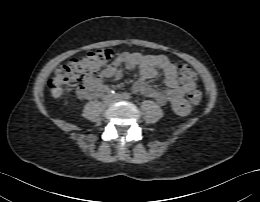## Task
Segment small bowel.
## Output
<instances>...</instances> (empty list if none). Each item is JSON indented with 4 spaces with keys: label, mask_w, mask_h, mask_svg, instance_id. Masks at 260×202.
Segmentation results:
<instances>
[{
    "label": "small bowel",
    "mask_w": 260,
    "mask_h": 202,
    "mask_svg": "<svg viewBox=\"0 0 260 202\" xmlns=\"http://www.w3.org/2000/svg\"><path fill=\"white\" fill-rule=\"evenodd\" d=\"M140 73V78L133 84V91L154 99L159 105L169 103L174 111L186 116L189 111V105L184 100V96L196 88L195 82L180 83L175 64L163 54L144 55L140 53H124L118 56L110 65L100 70L95 76H92L85 82V88L79 91V95L84 97V90L92 88L98 96L102 89H105V81L112 79L121 73L122 69H135ZM161 71L164 76V84L167 89L157 90L146 84V80L153 79Z\"/></svg>",
    "instance_id": "1"
}]
</instances>
